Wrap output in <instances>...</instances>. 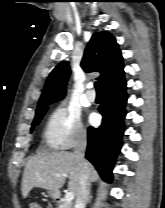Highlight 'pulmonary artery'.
Masks as SVG:
<instances>
[{
	"label": "pulmonary artery",
	"mask_w": 165,
	"mask_h": 208,
	"mask_svg": "<svg viewBox=\"0 0 165 208\" xmlns=\"http://www.w3.org/2000/svg\"><path fill=\"white\" fill-rule=\"evenodd\" d=\"M86 99L89 101V102H94L96 100V95L92 92H88L86 94Z\"/></svg>",
	"instance_id": "e3ab8cb5"
}]
</instances>
